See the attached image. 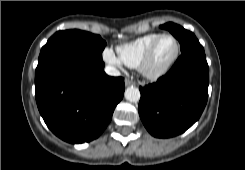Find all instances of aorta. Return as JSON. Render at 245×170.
<instances>
[{"label": "aorta", "mask_w": 245, "mask_h": 170, "mask_svg": "<svg viewBox=\"0 0 245 170\" xmlns=\"http://www.w3.org/2000/svg\"><path fill=\"white\" fill-rule=\"evenodd\" d=\"M124 96L130 102H137L140 100V91L138 88L131 86L125 90Z\"/></svg>", "instance_id": "obj_1"}]
</instances>
